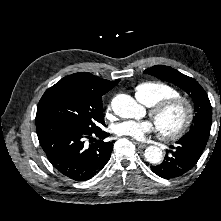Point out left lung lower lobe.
I'll return each instance as SVG.
<instances>
[{
    "label": "left lung lower lobe",
    "mask_w": 221,
    "mask_h": 221,
    "mask_svg": "<svg viewBox=\"0 0 221 221\" xmlns=\"http://www.w3.org/2000/svg\"><path fill=\"white\" fill-rule=\"evenodd\" d=\"M209 131H198L184 135L177 141V147L168 151L164 161L151 166V170L158 176L170 179L180 177L190 171L199 160L209 138Z\"/></svg>",
    "instance_id": "obj_1"
}]
</instances>
